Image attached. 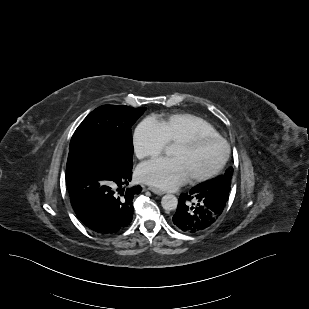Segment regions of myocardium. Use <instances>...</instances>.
<instances>
[{
    "label": "myocardium",
    "instance_id": "obj_1",
    "mask_svg": "<svg viewBox=\"0 0 309 309\" xmlns=\"http://www.w3.org/2000/svg\"><path fill=\"white\" fill-rule=\"evenodd\" d=\"M207 141H216L221 144L222 146V155L221 158L218 162V164L215 166L214 169L211 171L202 174V175H197V176H192L189 177V180L194 183H201L207 180H210L217 176L224 168V166L227 163V160L229 158L230 154V146L225 138L218 134H210V133H205V132H198V133H193L187 137H184L177 142H175V145H182L185 147H196L204 142Z\"/></svg>",
    "mask_w": 309,
    "mask_h": 309
}]
</instances>
